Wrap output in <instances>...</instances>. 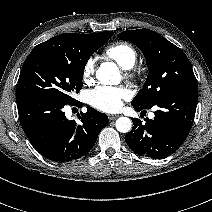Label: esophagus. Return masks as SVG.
Returning <instances> with one entry per match:
<instances>
[{
  "mask_svg": "<svg viewBox=\"0 0 212 212\" xmlns=\"http://www.w3.org/2000/svg\"><path fill=\"white\" fill-rule=\"evenodd\" d=\"M119 116L118 115H114V114H112V115H109L108 116V118H109V120H115V119H117Z\"/></svg>",
  "mask_w": 212,
  "mask_h": 212,
  "instance_id": "34e87169",
  "label": "esophagus"
}]
</instances>
